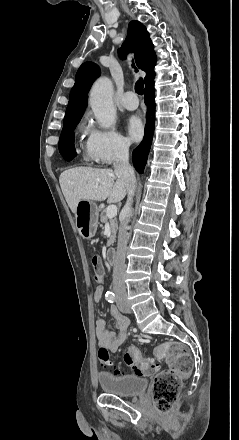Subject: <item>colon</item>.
Masks as SVG:
<instances>
[{
  "instance_id": "1",
  "label": "colon",
  "mask_w": 239,
  "mask_h": 440,
  "mask_svg": "<svg viewBox=\"0 0 239 440\" xmlns=\"http://www.w3.org/2000/svg\"><path fill=\"white\" fill-rule=\"evenodd\" d=\"M91 264L94 279L102 281L104 279V270L100 259L94 256ZM157 354L165 361L166 367L154 377L152 397L156 410L160 413H165L176 403L182 381L190 376L193 364L186 348L177 343H167L159 346ZM98 358L101 365H111L109 352L106 349H99ZM124 362L137 375H152L157 372L155 363L149 359L142 358L135 345L128 347L124 354ZM113 370L117 375L124 373V368L121 366L115 367Z\"/></svg>"
}]
</instances>
